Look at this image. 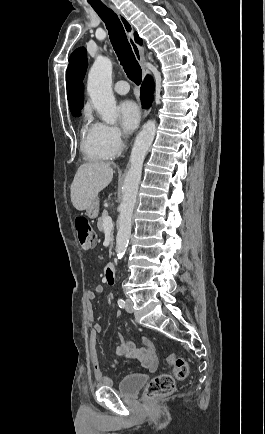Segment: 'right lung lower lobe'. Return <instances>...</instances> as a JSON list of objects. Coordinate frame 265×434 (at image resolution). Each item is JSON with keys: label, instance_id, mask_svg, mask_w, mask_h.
<instances>
[{"label": "right lung lower lobe", "instance_id": "1", "mask_svg": "<svg viewBox=\"0 0 265 434\" xmlns=\"http://www.w3.org/2000/svg\"><path fill=\"white\" fill-rule=\"evenodd\" d=\"M153 90H154L153 80L150 76H147L141 87V96H140L142 106L144 108H149L151 106V102L153 99Z\"/></svg>", "mask_w": 265, "mask_h": 434}]
</instances>
